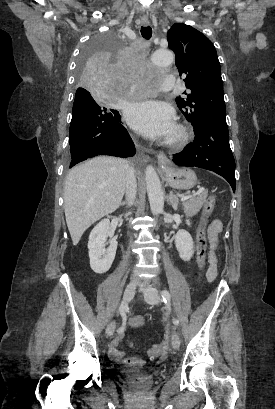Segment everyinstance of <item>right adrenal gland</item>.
<instances>
[{
    "mask_svg": "<svg viewBox=\"0 0 275 409\" xmlns=\"http://www.w3.org/2000/svg\"><path fill=\"white\" fill-rule=\"evenodd\" d=\"M124 205H126V202H121L120 207H124Z\"/></svg>",
    "mask_w": 275,
    "mask_h": 409,
    "instance_id": "1",
    "label": "right adrenal gland"
}]
</instances>
